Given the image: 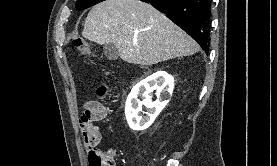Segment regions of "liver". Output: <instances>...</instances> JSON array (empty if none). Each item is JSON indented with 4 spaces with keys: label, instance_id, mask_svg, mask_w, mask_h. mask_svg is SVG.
<instances>
[{
    "label": "liver",
    "instance_id": "6515ba94",
    "mask_svg": "<svg viewBox=\"0 0 277 166\" xmlns=\"http://www.w3.org/2000/svg\"><path fill=\"white\" fill-rule=\"evenodd\" d=\"M82 34L100 45L113 43L123 61L144 66L199 51L187 33L140 0H105L93 6Z\"/></svg>",
    "mask_w": 277,
    "mask_h": 166
}]
</instances>
